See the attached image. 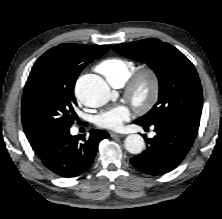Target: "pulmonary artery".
<instances>
[{
  "mask_svg": "<svg viewBox=\"0 0 222 219\" xmlns=\"http://www.w3.org/2000/svg\"><path fill=\"white\" fill-rule=\"evenodd\" d=\"M115 87H120L121 85L120 84H116V85H114Z\"/></svg>",
  "mask_w": 222,
  "mask_h": 219,
  "instance_id": "1",
  "label": "pulmonary artery"
}]
</instances>
